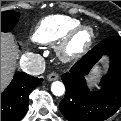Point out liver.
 Returning <instances> with one entry per match:
<instances>
[{
  "label": "liver",
  "instance_id": "obj_1",
  "mask_svg": "<svg viewBox=\"0 0 121 121\" xmlns=\"http://www.w3.org/2000/svg\"><path fill=\"white\" fill-rule=\"evenodd\" d=\"M17 58L18 51L13 36L1 33V91L12 78Z\"/></svg>",
  "mask_w": 121,
  "mask_h": 121
}]
</instances>
